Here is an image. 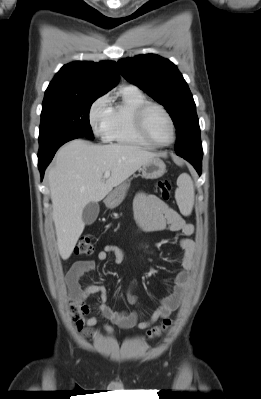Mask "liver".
<instances>
[{"label": "liver", "mask_w": 261, "mask_h": 399, "mask_svg": "<svg viewBox=\"0 0 261 399\" xmlns=\"http://www.w3.org/2000/svg\"><path fill=\"white\" fill-rule=\"evenodd\" d=\"M155 153L138 146L93 145L82 139L64 145L47 171L57 246L67 260L82 234L84 207L99 202L134 174ZM111 175L104 181L103 174Z\"/></svg>", "instance_id": "liver-1"}]
</instances>
